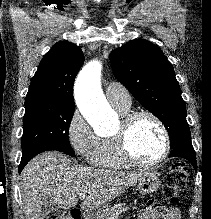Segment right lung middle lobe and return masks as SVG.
<instances>
[{
	"label": "right lung middle lobe",
	"instance_id": "obj_1",
	"mask_svg": "<svg viewBox=\"0 0 211 219\" xmlns=\"http://www.w3.org/2000/svg\"><path fill=\"white\" fill-rule=\"evenodd\" d=\"M74 109V106L58 105L50 101L25 103L22 158L48 150L75 156L68 138Z\"/></svg>",
	"mask_w": 211,
	"mask_h": 219
}]
</instances>
